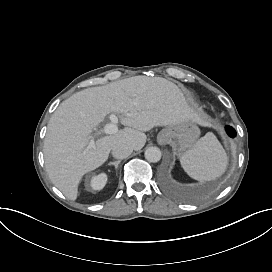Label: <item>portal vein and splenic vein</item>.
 Segmentation results:
<instances>
[{"mask_svg":"<svg viewBox=\"0 0 272 272\" xmlns=\"http://www.w3.org/2000/svg\"><path fill=\"white\" fill-rule=\"evenodd\" d=\"M110 122L106 123L104 127L97 129L94 131L89 137V145L88 148H95V139L100 135H112L118 132V118L116 115L109 116Z\"/></svg>","mask_w":272,"mask_h":272,"instance_id":"18ae733b","label":"portal vein and splenic vein"}]
</instances>
